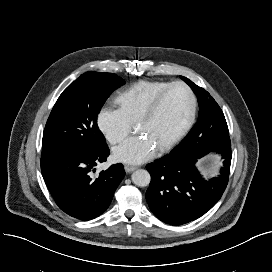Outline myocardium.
I'll return each mask as SVG.
<instances>
[{"instance_id":"f54148a6","label":"myocardium","mask_w":272,"mask_h":272,"mask_svg":"<svg viewBox=\"0 0 272 272\" xmlns=\"http://www.w3.org/2000/svg\"><path fill=\"white\" fill-rule=\"evenodd\" d=\"M175 87H181L186 91L189 98V111L180 129L168 141H166L164 144L158 147V150L160 152H164L170 149L171 147H173L187 133V131L191 127L194 121L196 109H197V100L192 89L186 83L182 81H176V82H172L168 84L152 99V101L149 103V105L147 106V108L144 110L141 117L137 121V126H140L144 122L152 118L158 111L167 93Z\"/></svg>"}]
</instances>
